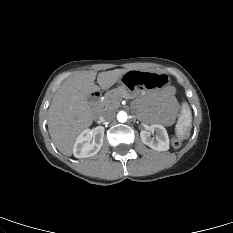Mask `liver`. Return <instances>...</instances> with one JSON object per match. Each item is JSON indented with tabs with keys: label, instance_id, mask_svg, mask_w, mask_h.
I'll list each match as a JSON object with an SVG mask.
<instances>
[{
	"label": "liver",
	"instance_id": "1",
	"mask_svg": "<svg viewBox=\"0 0 233 233\" xmlns=\"http://www.w3.org/2000/svg\"><path fill=\"white\" fill-rule=\"evenodd\" d=\"M127 69L100 72L82 71L65 80L55 93L48 110V130L56 148L71 156L76 137L93 123L92 108L88 104L91 93L112 87ZM97 82L100 87L95 85Z\"/></svg>",
	"mask_w": 233,
	"mask_h": 233
}]
</instances>
